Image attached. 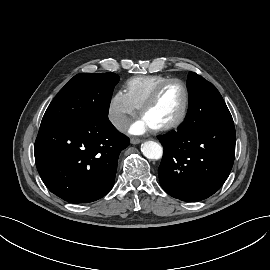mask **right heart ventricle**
I'll return each mask as SVG.
<instances>
[{"label": "right heart ventricle", "instance_id": "right-heart-ventricle-1", "mask_svg": "<svg viewBox=\"0 0 270 270\" xmlns=\"http://www.w3.org/2000/svg\"><path fill=\"white\" fill-rule=\"evenodd\" d=\"M170 78L164 75L135 76L126 81L124 90L134 107L139 109L154 88Z\"/></svg>", "mask_w": 270, "mask_h": 270}]
</instances>
